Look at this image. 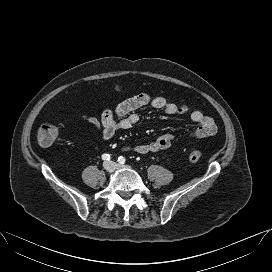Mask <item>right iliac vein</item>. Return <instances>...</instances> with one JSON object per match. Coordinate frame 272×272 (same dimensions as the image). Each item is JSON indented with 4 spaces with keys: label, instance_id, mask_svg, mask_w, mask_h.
Returning <instances> with one entry per match:
<instances>
[{
    "label": "right iliac vein",
    "instance_id": "obj_1",
    "mask_svg": "<svg viewBox=\"0 0 272 272\" xmlns=\"http://www.w3.org/2000/svg\"><path fill=\"white\" fill-rule=\"evenodd\" d=\"M103 167L107 172H112L114 170V167L110 162H105Z\"/></svg>",
    "mask_w": 272,
    "mask_h": 272
}]
</instances>
